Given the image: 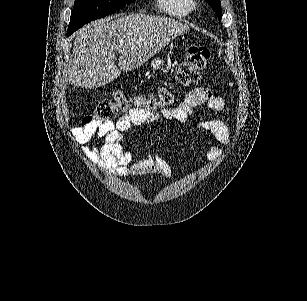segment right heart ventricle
Returning a JSON list of instances; mask_svg holds the SVG:
<instances>
[{"label":"right heart ventricle","instance_id":"e07e8e85","mask_svg":"<svg viewBox=\"0 0 307 301\" xmlns=\"http://www.w3.org/2000/svg\"><path fill=\"white\" fill-rule=\"evenodd\" d=\"M157 2L159 3L158 12H161L162 17H182L183 12L180 8L184 0H157Z\"/></svg>","mask_w":307,"mask_h":301}]
</instances>
